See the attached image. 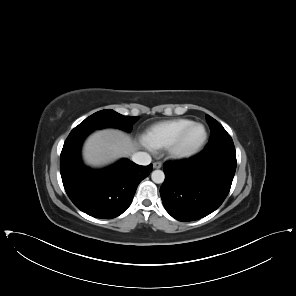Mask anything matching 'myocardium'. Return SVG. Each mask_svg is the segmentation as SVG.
<instances>
[{
    "mask_svg": "<svg viewBox=\"0 0 296 296\" xmlns=\"http://www.w3.org/2000/svg\"><path fill=\"white\" fill-rule=\"evenodd\" d=\"M194 126H199L203 130V135L200 142L194 148L190 150H181L180 143L185 136V134ZM207 129L204 124L200 122H191L189 125L184 127L174 139L166 146V154L169 158L174 160H184L196 156L204 147L207 141Z\"/></svg>",
    "mask_w": 296,
    "mask_h": 296,
    "instance_id": "obj_1",
    "label": "myocardium"
}]
</instances>
